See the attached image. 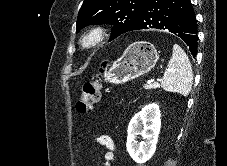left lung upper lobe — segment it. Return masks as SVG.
Returning a JSON list of instances; mask_svg holds the SVG:
<instances>
[{
  "instance_id": "obj_1",
  "label": "left lung upper lobe",
  "mask_w": 227,
  "mask_h": 166,
  "mask_svg": "<svg viewBox=\"0 0 227 166\" xmlns=\"http://www.w3.org/2000/svg\"><path fill=\"white\" fill-rule=\"evenodd\" d=\"M147 0H84L76 32L90 24L114 25L110 41L134 30Z\"/></svg>"
}]
</instances>
